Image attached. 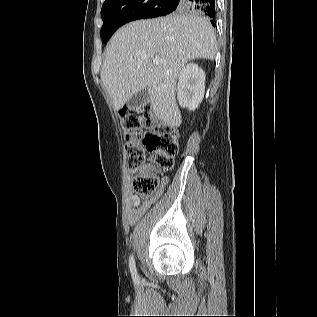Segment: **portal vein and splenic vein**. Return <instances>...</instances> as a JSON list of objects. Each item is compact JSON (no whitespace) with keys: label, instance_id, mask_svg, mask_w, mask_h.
<instances>
[{"label":"portal vein and splenic vein","instance_id":"obj_1","mask_svg":"<svg viewBox=\"0 0 317 317\" xmlns=\"http://www.w3.org/2000/svg\"><path fill=\"white\" fill-rule=\"evenodd\" d=\"M159 63H160V59L159 58L153 59V64L154 65H158Z\"/></svg>","mask_w":317,"mask_h":317}]
</instances>
